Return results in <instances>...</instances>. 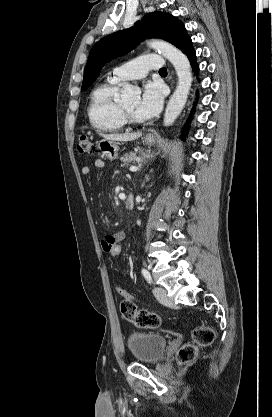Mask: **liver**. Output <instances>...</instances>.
<instances>
[{"label": "liver", "mask_w": 272, "mask_h": 417, "mask_svg": "<svg viewBox=\"0 0 272 417\" xmlns=\"http://www.w3.org/2000/svg\"><path fill=\"white\" fill-rule=\"evenodd\" d=\"M100 135L110 141H121V142H127V141H133L135 139H138L142 136L141 132L137 133H128V134H104L100 133Z\"/></svg>", "instance_id": "6515ba94"}]
</instances>
